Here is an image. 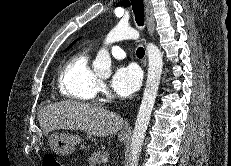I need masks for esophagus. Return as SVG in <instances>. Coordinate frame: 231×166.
<instances>
[{
	"instance_id": "obj_1",
	"label": "esophagus",
	"mask_w": 231,
	"mask_h": 166,
	"mask_svg": "<svg viewBox=\"0 0 231 166\" xmlns=\"http://www.w3.org/2000/svg\"><path fill=\"white\" fill-rule=\"evenodd\" d=\"M143 1H144V6H145L148 32H149L150 36H153L154 28H155L153 8H152L150 0H143ZM144 64L146 65V59H145ZM129 131H130V128H127L125 130V133H128Z\"/></svg>"
}]
</instances>
